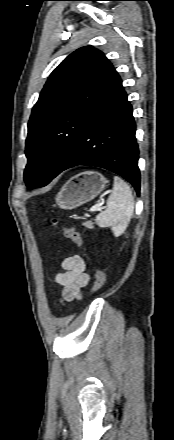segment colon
<instances>
[{
    "label": "colon",
    "mask_w": 174,
    "mask_h": 440,
    "mask_svg": "<svg viewBox=\"0 0 174 440\" xmlns=\"http://www.w3.org/2000/svg\"><path fill=\"white\" fill-rule=\"evenodd\" d=\"M50 224L57 231H60L64 234V236L74 242L76 245L81 246L83 243L82 237L80 233L73 227L64 226L60 223L59 219L51 218ZM94 283L92 287V291L94 293L98 292L105 283V274L102 270L96 269L94 273Z\"/></svg>",
    "instance_id": "5ec220e1"
}]
</instances>
